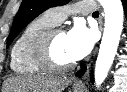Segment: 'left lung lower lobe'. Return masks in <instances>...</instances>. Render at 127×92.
Returning <instances> with one entry per match:
<instances>
[{
	"label": "left lung lower lobe",
	"mask_w": 127,
	"mask_h": 92,
	"mask_svg": "<svg viewBox=\"0 0 127 92\" xmlns=\"http://www.w3.org/2000/svg\"><path fill=\"white\" fill-rule=\"evenodd\" d=\"M122 3H123V7H124V10H125V13L127 15V0H122ZM85 70H86V68L83 67L81 70H79L77 72L76 76L81 77L84 74Z\"/></svg>",
	"instance_id": "0a47b994"
}]
</instances>
